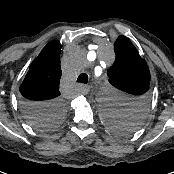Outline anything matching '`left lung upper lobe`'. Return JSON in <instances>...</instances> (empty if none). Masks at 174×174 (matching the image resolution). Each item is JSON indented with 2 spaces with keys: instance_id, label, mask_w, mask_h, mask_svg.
Here are the masks:
<instances>
[{
  "instance_id": "1",
  "label": "left lung upper lobe",
  "mask_w": 174,
  "mask_h": 174,
  "mask_svg": "<svg viewBox=\"0 0 174 174\" xmlns=\"http://www.w3.org/2000/svg\"><path fill=\"white\" fill-rule=\"evenodd\" d=\"M116 60L107 71L109 82L116 88L134 96L125 114L108 117L112 130L126 135L138 128L148 107L146 94L150 84L149 68L137 49L125 36H119L114 44Z\"/></svg>"
}]
</instances>
